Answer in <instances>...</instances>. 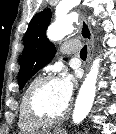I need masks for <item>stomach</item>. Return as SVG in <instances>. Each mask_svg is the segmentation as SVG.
I'll return each instance as SVG.
<instances>
[{"mask_svg": "<svg viewBox=\"0 0 116 134\" xmlns=\"http://www.w3.org/2000/svg\"><path fill=\"white\" fill-rule=\"evenodd\" d=\"M54 134H62L61 132H56V133H54Z\"/></svg>", "mask_w": 116, "mask_h": 134, "instance_id": "stomach-1", "label": "stomach"}]
</instances>
